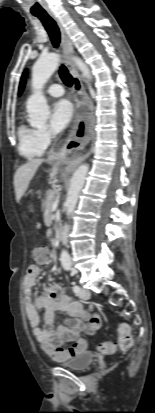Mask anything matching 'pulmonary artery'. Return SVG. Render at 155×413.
I'll list each match as a JSON object with an SVG mask.
<instances>
[{
  "label": "pulmonary artery",
  "instance_id": "obj_1",
  "mask_svg": "<svg viewBox=\"0 0 155 413\" xmlns=\"http://www.w3.org/2000/svg\"><path fill=\"white\" fill-rule=\"evenodd\" d=\"M47 94L52 97H60L64 94V89L59 84H52L47 88Z\"/></svg>",
  "mask_w": 155,
  "mask_h": 413
}]
</instances>
